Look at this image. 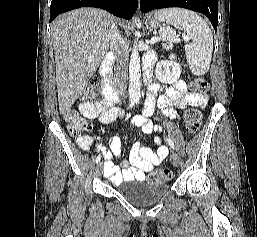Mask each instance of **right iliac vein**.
Instances as JSON below:
<instances>
[{"label": "right iliac vein", "instance_id": "1", "mask_svg": "<svg viewBox=\"0 0 257 237\" xmlns=\"http://www.w3.org/2000/svg\"><path fill=\"white\" fill-rule=\"evenodd\" d=\"M102 171H103V164L101 162H99L97 164V172H98V174H101Z\"/></svg>", "mask_w": 257, "mask_h": 237}]
</instances>
